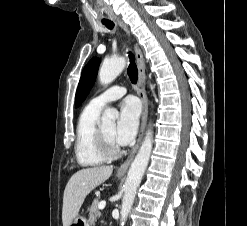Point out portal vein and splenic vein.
<instances>
[{"instance_id": "18ae733b", "label": "portal vein and splenic vein", "mask_w": 247, "mask_h": 226, "mask_svg": "<svg viewBox=\"0 0 247 226\" xmlns=\"http://www.w3.org/2000/svg\"><path fill=\"white\" fill-rule=\"evenodd\" d=\"M105 206H106V201H101V202L98 204V208H99L100 210L104 209Z\"/></svg>"}]
</instances>
